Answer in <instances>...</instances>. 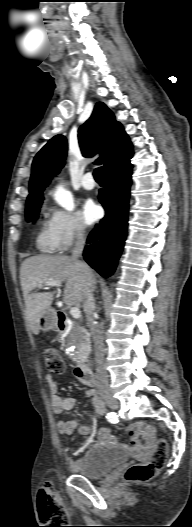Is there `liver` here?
<instances>
[{
    "mask_svg": "<svg viewBox=\"0 0 192 527\" xmlns=\"http://www.w3.org/2000/svg\"><path fill=\"white\" fill-rule=\"evenodd\" d=\"M83 265L77 259L65 255H36L22 262L20 282L26 308V320L35 335L39 334L40 317L50 308L54 292L33 293L32 291L38 287V284L48 280L65 282L63 302L69 307H81L85 299L87 281L92 287L96 284L93 272L88 266L85 270Z\"/></svg>",
    "mask_w": 192,
    "mask_h": 527,
    "instance_id": "liver-1",
    "label": "liver"
}]
</instances>
